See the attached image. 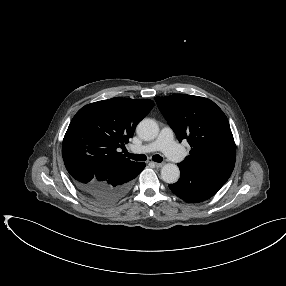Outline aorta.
<instances>
[{"label": "aorta", "instance_id": "1", "mask_svg": "<svg viewBox=\"0 0 286 286\" xmlns=\"http://www.w3.org/2000/svg\"><path fill=\"white\" fill-rule=\"evenodd\" d=\"M138 136L145 140L151 141L155 139L159 133V127L155 120L145 118L137 125ZM180 170L176 164L167 163L161 169V178L164 182L173 184L179 180Z\"/></svg>", "mask_w": 286, "mask_h": 286}]
</instances>
